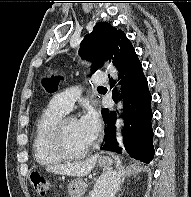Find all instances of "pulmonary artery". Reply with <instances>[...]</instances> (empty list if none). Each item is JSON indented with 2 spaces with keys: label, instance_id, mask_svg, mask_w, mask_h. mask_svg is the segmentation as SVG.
Returning <instances> with one entry per match:
<instances>
[{
  "label": "pulmonary artery",
  "instance_id": "1",
  "mask_svg": "<svg viewBox=\"0 0 191 197\" xmlns=\"http://www.w3.org/2000/svg\"><path fill=\"white\" fill-rule=\"evenodd\" d=\"M106 82V73L99 72L95 75V84L102 85ZM81 88L77 86L69 87L53 96L52 102L65 112H69L74 102L81 96Z\"/></svg>",
  "mask_w": 191,
  "mask_h": 197
}]
</instances>
